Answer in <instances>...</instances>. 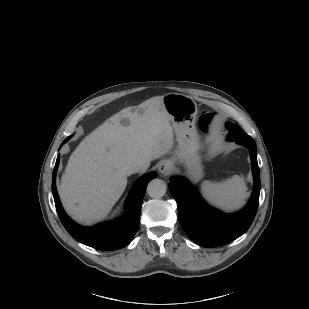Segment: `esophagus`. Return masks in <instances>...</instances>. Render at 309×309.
<instances>
[{"label": "esophagus", "mask_w": 309, "mask_h": 309, "mask_svg": "<svg viewBox=\"0 0 309 309\" xmlns=\"http://www.w3.org/2000/svg\"><path fill=\"white\" fill-rule=\"evenodd\" d=\"M172 169V164L169 161H163L160 165H159V172L163 175H167L170 173Z\"/></svg>", "instance_id": "obj_1"}]
</instances>
